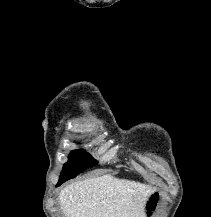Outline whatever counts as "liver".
<instances>
[{
  "label": "liver",
  "mask_w": 211,
  "mask_h": 217,
  "mask_svg": "<svg viewBox=\"0 0 211 217\" xmlns=\"http://www.w3.org/2000/svg\"><path fill=\"white\" fill-rule=\"evenodd\" d=\"M152 191L139 182L103 175L66 186L59 203L65 217H144Z\"/></svg>",
  "instance_id": "obj_1"
}]
</instances>
